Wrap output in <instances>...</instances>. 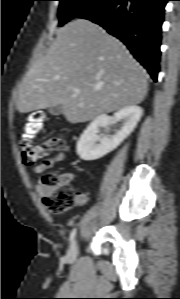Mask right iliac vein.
<instances>
[{
  "label": "right iliac vein",
  "instance_id": "obj_1",
  "mask_svg": "<svg viewBox=\"0 0 180 299\" xmlns=\"http://www.w3.org/2000/svg\"><path fill=\"white\" fill-rule=\"evenodd\" d=\"M78 255V243L77 241H73L70 245V248L67 252V260L69 262H73Z\"/></svg>",
  "mask_w": 180,
  "mask_h": 299
}]
</instances>
